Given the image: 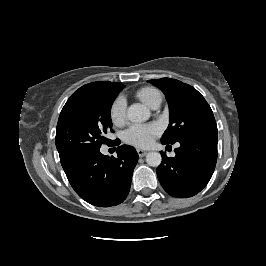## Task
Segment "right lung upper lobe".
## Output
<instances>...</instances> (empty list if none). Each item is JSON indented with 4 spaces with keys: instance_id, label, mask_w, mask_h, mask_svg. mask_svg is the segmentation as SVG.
I'll return each mask as SVG.
<instances>
[{
    "instance_id": "obj_1",
    "label": "right lung upper lobe",
    "mask_w": 266,
    "mask_h": 266,
    "mask_svg": "<svg viewBox=\"0 0 266 266\" xmlns=\"http://www.w3.org/2000/svg\"><path fill=\"white\" fill-rule=\"evenodd\" d=\"M118 86H123V84L122 83H116V82H107V81H98V82H92V83L86 84V85L80 87L78 90H76L71 95V97L68 99V101L64 105L61 113L66 111L72 105L94 95L95 93H98L99 91H102V90L108 89V88L118 87ZM73 165H74V163L62 164V167H63L65 173L68 172L72 168Z\"/></svg>"
}]
</instances>
